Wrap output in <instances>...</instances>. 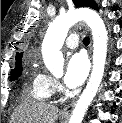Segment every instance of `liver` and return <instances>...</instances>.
<instances>
[{
  "label": "liver",
  "mask_w": 122,
  "mask_h": 123,
  "mask_svg": "<svg viewBox=\"0 0 122 123\" xmlns=\"http://www.w3.org/2000/svg\"><path fill=\"white\" fill-rule=\"evenodd\" d=\"M58 113L54 105L28 101L14 111L10 123H56Z\"/></svg>",
  "instance_id": "6515ba94"
}]
</instances>
